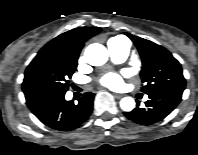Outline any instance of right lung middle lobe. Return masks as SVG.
<instances>
[{
	"label": "right lung middle lobe",
	"instance_id": "obj_1",
	"mask_svg": "<svg viewBox=\"0 0 198 155\" xmlns=\"http://www.w3.org/2000/svg\"><path fill=\"white\" fill-rule=\"evenodd\" d=\"M78 53L62 51L39 52L25 71L24 93L38 90L67 91L69 78L76 71Z\"/></svg>",
	"mask_w": 198,
	"mask_h": 155
}]
</instances>
